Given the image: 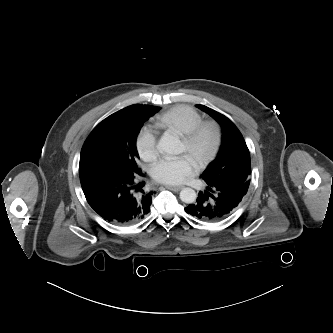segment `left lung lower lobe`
Listing matches in <instances>:
<instances>
[{"label":"left lung lower lobe","mask_w":333,"mask_h":333,"mask_svg":"<svg viewBox=\"0 0 333 333\" xmlns=\"http://www.w3.org/2000/svg\"><path fill=\"white\" fill-rule=\"evenodd\" d=\"M207 183L204 192L200 191L196 202L188 205L185 211L198 220L216 222L231 214L246 195L245 184L212 182Z\"/></svg>","instance_id":"0a47b994"}]
</instances>
